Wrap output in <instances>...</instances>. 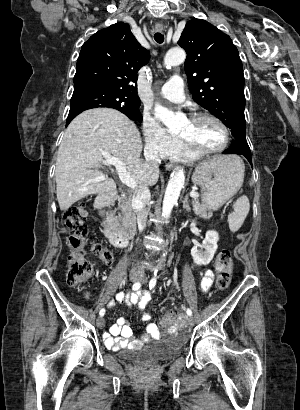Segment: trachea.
Wrapping results in <instances>:
<instances>
[{
    "mask_svg": "<svg viewBox=\"0 0 300 410\" xmlns=\"http://www.w3.org/2000/svg\"><path fill=\"white\" fill-rule=\"evenodd\" d=\"M154 39H155V41H156L157 43L162 44L163 41H164V35L161 34V33H159V32H157V33H155V35H154Z\"/></svg>",
    "mask_w": 300,
    "mask_h": 410,
    "instance_id": "obj_1",
    "label": "trachea"
}]
</instances>
